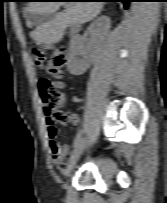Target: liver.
<instances>
[{"label": "liver", "mask_w": 167, "mask_h": 203, "mask_svg": "<svg viewBox=\"0 0 167 203\" xmlns=\"http://www.w3.org/2000/svg\"><path fill=\"white\" fill-rule=\"evenodd\" d=\"M60 2H30L29 12L37 14L55 13ZM65 10L56 13L51 21L38 26L31 32V38L39 45H50L59 42L65 29L69 26L86 23L100 14L102 2H67Z\"/></svg>", "instance_id": "6515ba94"}]
</instances>
